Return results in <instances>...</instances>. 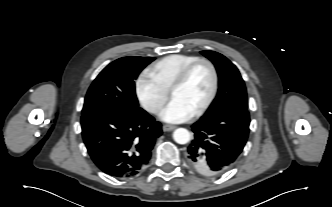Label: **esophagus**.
Instances as JSON below:
<instances>
[{
	"label": "esophagus",
	"instance_id": "34e87169",
	"mask_svg": "<svg viewBox=\"0 0 332 207\" xmlns=\"http://www.w3.org/2000/svg\"><path fill=\"white\" fill-rule=\"evenodd\" d=\"M175 128H176V126H174V125H163V127H162L164 132L174 130Z\"/></svg>",
	"mask_w": 332,
	"mask_h": 207
}]
</instances>
